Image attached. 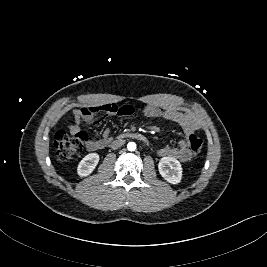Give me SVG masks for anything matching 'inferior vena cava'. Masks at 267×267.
Masks as SVG:
<instances>
[{
    "instance_id": "obj_1",
    "label": "inferior vena cava",
    "mask_w": 267,
    "mask_h": 267,
    "mask_svg": "<svg viewBox=\"0 0 267 267\" xmlns=\"http://www.w3.org/2000/svg\"><path fill=\"white\" fill-rule=\"evenodd\" d=\"M124 143H125V140H123V139H117V140H115V141L112 142L111 147L113 149H117V148L121 147Z\"/></svg>"
}]
</instances>
